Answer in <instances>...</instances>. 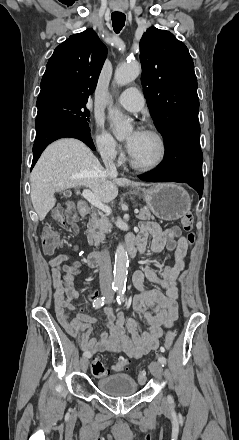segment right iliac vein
I'll return each mask as SVG.
<instances>
[{"label": "right iliac vein", "instance_id": "63e3f726", "mask_svg": "<svg viewBox=\"0 0 239 440\" xmlns=\"http://www.w3.org/2000/svg\"><path fill=\"white\" fill-rule=\"evenodd\" d=\"M88 364H89L88 358H86V357L82 358V359L80 360V367H81V370H82V371H86L87 368H88Z\"/></svg>", "mask_w": 239, "mask_h": 440}]
</instances>
